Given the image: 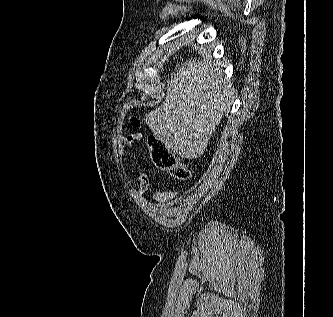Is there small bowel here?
Instances as JSON below:
<instances>
[{"mask_svg": "<svg viewBox=\"0 0 333 317\" xmlns=\"http://www.w3.org/2000/svg\"><path fill=\"white\" fill-rule=\"evenodd\" d=\"M140 140H142V134L140 133L127 135L123 139V147L130 151L133 145ZM149 186L150 181L148 175L144 172H139L137 193L139 195H143L148 191ZM176 194L177 192L175 190L164 189L158 191L154 197L159 202L167 203L172 201L175 198Z\"/></svg>", "mask_w": 333, "mask_h": 317, "instance_id": "obj_1", "label": "small bowel"}]
</instances>
